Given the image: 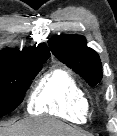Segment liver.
Instances as JSON below:
<instances>
[{
    "instance_id": "6515ba94",
    "label": "liver",
    "mask_w": 117,
    "mask_h": 136,
    "mask_svg": "<svg viewBox=\"0 0 117 136\" xmlns=\"http://www.w3.org/2000/svg\"><path fill=\"white\" fill-rule=\"evenodd\" d=\"M0 136H91L56 120L35 117L0 127Z\"/></svg>"
}]
</instances>
